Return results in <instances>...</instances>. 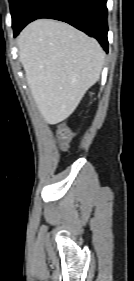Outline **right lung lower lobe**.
I'll list each match as a JSON object with an SVG mask.
<instances>
[{"label": "right lung lower lobe", "instance_id": "obj_1", "mask_svg": "<svg viewBox=\"0 0 134 281\" xmlns=\"http://www.w3.org/2000/svg\"><path fill=\"white\" fill-rule=\"evenodd\" d=\"M107 0H31L14 36L31 21L52 18L69 23L96 38L108 52Z\"/></svg>", "mask_w": 134, "mask_h": 281}]
</instances>
